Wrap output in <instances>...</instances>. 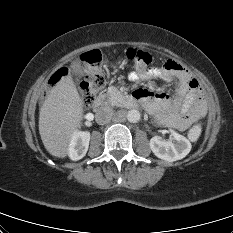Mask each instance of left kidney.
I'll use <instances>...</instances> for the list:
<instances>
[{
    "instance_id": "obj_1",
    "label": "left kidney",
    "mask_w": 233,
    "mask_h": 233,
    "mask_svg": "<svg viewBox=\"0 0 233 233\" xmlns=\"http://www.w3.org/2000/svg\"><path fill=\"white\" fill-rule=\"evenodd\" d=\"M169 140H163L160 136L150 139V149L158 158L173 162L186 157L191 151V143L184 136L171 130Z\"/></svg>"
}]
</instances>
